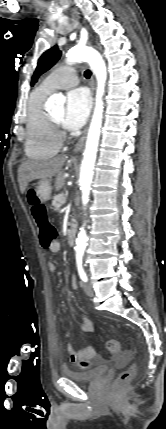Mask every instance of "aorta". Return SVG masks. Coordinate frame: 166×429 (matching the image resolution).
<instances>
[{
  "label": "aorta",
  "instance_id": "762f6f07",
  "mask_svg": "<svg viewBox=\"0 0 166 429\" xmlns=\"http://www.w3.org/2000/svg\"><path fill=\"white\" fill-rule=\"evenodd\" d=\"M67 62H87L91 67L97 79V91L95 100V109L93 112L92 120L90 123L85 150L83 153V160L80 168V189L82 192V204L86 206L89 202V195L91 191V184L94 175V166L97 157V150L99 146L100 132L102 126V115L104 109L103 95L105 89V82L107 79L106 64L102 56L93 48L87 46H76L70 49L66 54ZM65 97L60 94L52 95L47 105L54 107L56 105H63ZM87 245V234L84 227L80 228V232L76 239L75 251L83 253Z\"/></svg>",
  "mask_w": 166,
  "mask_h": 429
}]
</instances>
